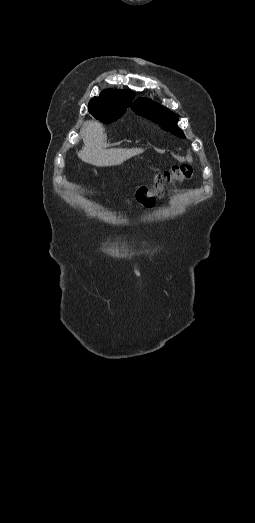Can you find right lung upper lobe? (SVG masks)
<instances>
[{
    "label": "right lung upper lobe",
    "mask_w": 255,
    "mask_h": 523,
    "mask_svg": "<svg viewBox=\"0 0 255 523\" xmlns=\"http://www.w3.org/2000/svg\"><path fill=\"white\" fill-rule=\"evenodd\" d=\"M135 94L129 90H113L108 89L101 92L98 97H94L89 102V107L98 104H109L118 102H132Z\"/></svg>",
    "instance_id": "right-lung-upper-lobe-1"
}]
</instances>
